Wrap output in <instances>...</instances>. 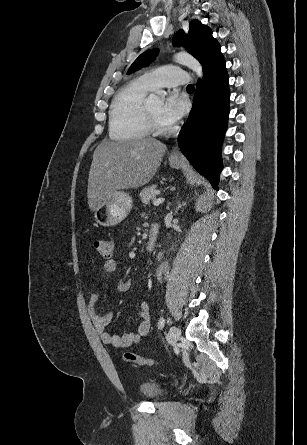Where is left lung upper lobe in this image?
Here are the masks:
<instances>
[{
    "label": "left lung upper lobe",
    "mask_w": 307,
    "mask_h": 445,
    "mask_svg": "<svg viewBox=\"0 0 307 445\" xmlns=\"http://www.w3.org/2000/svg\"><path fill=\"white\" fill-rule=\"evenodd\" d=\"M174 42L183 44L187 51L202 64L203 70L211 62L223 57L219 43L212 37V30L208 26L202 25L198 20L190 22L187 36L180 30L175 35ZM156 54L157 49L142 53L131 65L128 74L149 65L155 59Z\"/></svg>",
    "instance_id": "left-lung-upper-lobe-1"
}]
</instances>
